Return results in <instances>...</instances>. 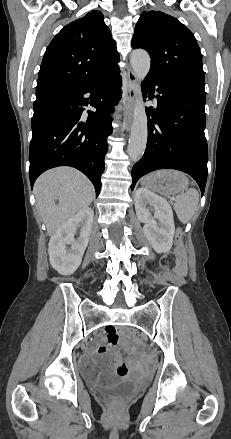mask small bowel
I'll return each instance as SVG.
<instances>
[{"label":"small bowel","instance_id":"small-bowel-1","mask_svg":"<svg viewBox=\"0 0 231 439\" xmlns=\"http://www.w3.org/2000/svg\"><path fill=\"white\" fill-rule=\"evenodd\" d=\"M118 341H119V338H118L117 334L115 333V331L113 329H110L108 331V334L106 337L107 345L99 344L93 353L96 358L101 359L103 361L104 370L107 373H112V371H113V367L106 361L107 347L108 346L115 347L118 344ZM113 364H114V367H117V368L120 367L121 365H125L118 352L114 353V363ZM135 372H136V374H142L144 372V369L142 367H137ZM102 380H106V378L103 377Z\"/></svg>","mask_w":231,"mask_h":439}]
</instances>
